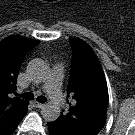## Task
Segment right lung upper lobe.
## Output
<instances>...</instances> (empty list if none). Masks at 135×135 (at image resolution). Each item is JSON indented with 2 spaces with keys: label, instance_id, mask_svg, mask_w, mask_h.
I'll list each match as a JSON object with an SVG mask.
<instances>
[{
  "label": "right lung upper lobe",
  "instance_id": "cb5924a9",
  "mask_svg": "<svg viewBox=\"0 0 135 135\" xmlns=\"http://www.w3.org/2000/svg\"><path fill=\"white\" fill-rule=\"evenodd\" d=\"M40 42L9 36L0 42V135L10 134L27 113L28 102L11 98L17 89V77L26 53Z\"/></svg>",
  "mask_w": 135,
  "mask_h": 135
}]
</instances>
